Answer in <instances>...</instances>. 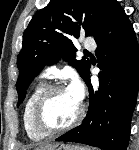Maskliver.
<instances>
[{
	"label": "liver",
	"instance_id": "liver-1",
	"mask_svg": "<svg viewBox=\"0 0 139 150\" xmlns=\"http://www.w3.org/2000/svg\"><path fill=\"white\" fill-rule=\"evenodd\" d=\"M56 146L57 145H45V146H43V145H41V146H39L36 150H54L55 148H56Z\"/></svg>",
	"mask_w": 139,
	"mask_h": 150
}]
</instances>
